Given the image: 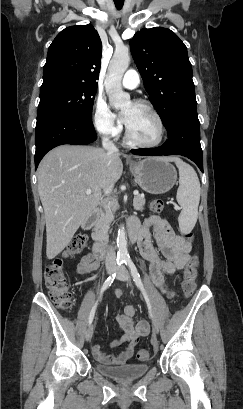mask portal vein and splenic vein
<instances>
[{"label": "portal vein and splenic vein", "mask_w": 243, "mask_h": 409, "mask_svg": "<svg viewBox=\"0 0 243 409\" xmlns=\"http://www.w3.org/2000/svg\"><path fill=\"white\" fill-rule=\"evenodd\" d=\"M85 193H86L87 195H89V194L92 193V191H91L90 189H87V190L85 191ZM134 195H135V196L138 195V192L135 191V192H134Z\"/></svg>", "instance_id": "18ae733b"}]
</instances>
